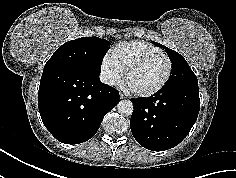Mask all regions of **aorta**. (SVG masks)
<instances>
[{"instance_id":"1","label":"aorta","mask_w":236,"mask_h":178,"mask_svg":"<svg viewBox=\"0 0 236 178\" xmlns=\"http://www.w3.org/2000/svg\"><path fill=\"white\" fill-rule=\"evenodd\" d=\"M118 112L122 115H131L133 113V104L129 100H121L117 105Z\"/></svg>"}]
</instances>
